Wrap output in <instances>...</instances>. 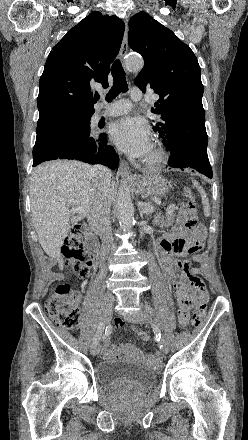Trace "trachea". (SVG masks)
Instances as JSON below:
<instances>
[{
  "instance_id": "1",
  "label": "trachea",
  "mask_w": 248,
  "mask_h": 440,
  "mask_svg": "<svg viewBox=\"0 0 248 440\" xmlns=\"http://www.w3.org/2000/svg\"><path fill=\"white\" fill-rule=\"evenodd\" d=\"M112 76H113V86L108 92L106 96V100L111 102L116 96H118L121 92L125 93L128 91V84L126 82L125 72L121 65L120 60H115L111 68ZM95 98L99 100V95H96Z\"/></svg>"
}]
</instances>
